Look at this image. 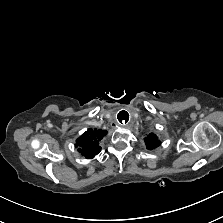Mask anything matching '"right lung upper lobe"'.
Segmentation results:
<instances>
[{
    "label": "right lung upper lobe",
    "instance_id": "1",
    "mask_svg": "<svg viewBox=\"0 0 223 223\" xmlns=\"http://www.w3.org/2000/svg\"><path fill=\"white\" fill-rule=\"evenodd\" d=\"M106 135V130L89 129L76 140L75 146L85 158L91 159L101 151L99 144Z\"/></svg>",
    "mask_w": 223,
    "mask_h": 223
}]
</instances>
